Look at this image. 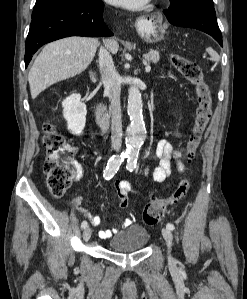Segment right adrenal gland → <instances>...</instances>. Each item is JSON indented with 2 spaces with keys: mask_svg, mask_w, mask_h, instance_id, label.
I'll return each instance as SVG.
<instances>
[{
  "mask_svg": "<svg viewBox=\"0 0 247 299\" xmlns=\"http://www.w3.org/2000/svg\"><path fill=\"white\" fill-rule=\"evenodd\" d=\"M91 77H96V72H91Z\"/></svg>",
  "mask_w": 247,
  "mask_h": 299,
  "instance_id": "1",
  "label": "right adrenal gland"
}]
</instances>
